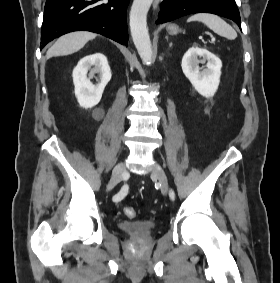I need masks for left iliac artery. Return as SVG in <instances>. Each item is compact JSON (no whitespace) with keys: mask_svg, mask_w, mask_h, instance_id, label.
I'll list each match as a JSON object with an SVG mask.
<instances>
[{"mask_svg":"<svg viewBox=\"0 0 280 283\" xmlns=\"http://www.w3.org/2000/svg\"><path fill=\"white\" fill-rule=\"evenodd\" d=\"M169 195H170V198H171L172 200L175 199V193H174L173 190H170Z\"/></svg>","mask_w":280,"mask_h":283,"instance_id":"44dca946","label":"left iliac artery"}]
</instances>
